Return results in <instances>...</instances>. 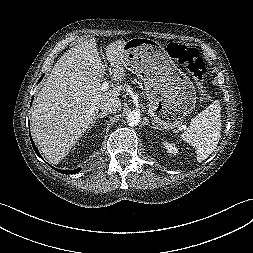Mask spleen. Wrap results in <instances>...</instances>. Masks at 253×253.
<instances>
[{
	"label": "spleen",
	"mask_w": 253,
	"mask_h": 253,
	"mask_svg": "<svg viewBox=\"0 0 253 253\" xmlns=\"http://www.w3.org/2000/svg\"><path fill=\"white\" fill-rule=\"evenodd\" d=\"M221 105L215 100L191 120L181 139L195 147L198 162L205 160L215 150L221 137Z\"/></svg>",
	"instance_id": "3e777b00"
}]
</instances>
